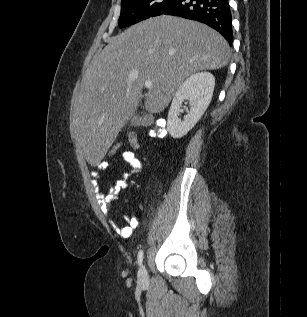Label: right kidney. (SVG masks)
Listing matches in <instances>:
<instances>
[{"instance_id":"ca27d5eb","label":"right kidney","mask_w":307,"mask_h":317,"mask_svg":"<svg viewBox=\"0 0 307 317\" xmlns=\"http://www.w3.org/2000/svg\"><path fill=\"white\" fill-rule=\"evenodd\" d=\"M215 86V78L209 72H200L191 75L177 89L167 118V131L173 138H181L186 135L199 121L210 104ZM188 100L190 109L183 117L182 103Z\"/></svg>"}]
</instances>
